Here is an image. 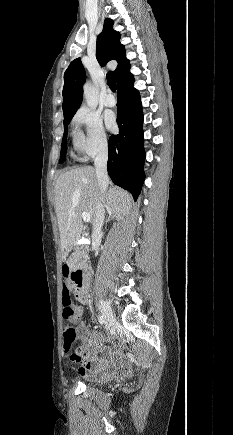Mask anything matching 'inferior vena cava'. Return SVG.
Masks as SVG:
<instances>
[{
    "label": "inferior vena cava",
    "mask_w": 233,
    "mask_h": 435,
    "mask_svg": "<svg viewBox=\"0 0 233 435\" xmlns=\"http://www.w3.org/2000/svg\"><path fill=\"white\" fill-rule=\"evenodd\" d=\"M107 160H108V148L107 144L103 145L94 161L96 177L98 181V186L100 190V201L96 208V217L93 225V233L95 235H102V226L105 218V209L103 206L104 194L108 186V174H107Z\"/></svg>",
    "instance_id": "602c4592"
}]
</instances>
